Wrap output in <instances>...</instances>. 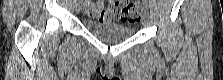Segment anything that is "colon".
I'll use <instances>...</instances> for the list:
<instances>
[{
	"label": "colon",
	"instance_id": "1",
	"mask_svg": "<svg viewBox=\"0 0 223 80\" xmlns=\"http://www.w3.org/2000/svg\"><path fill=\"white\" fill-rule=\"evenodd\" d=\"M114 14L130 25H136L140 21V10L136 2L111 1ZM96 14V13H95Z\"/></svg>",
	"mask_w": 223,
	"mask_h": 80
}]
</instances>
